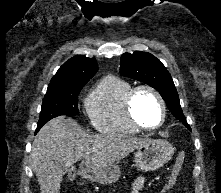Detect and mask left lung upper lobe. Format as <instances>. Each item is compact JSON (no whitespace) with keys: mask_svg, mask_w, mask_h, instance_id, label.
I'll use <instances>...</instances> for the list:
<instances>
[{"mask_svg":"<svg viewBox=\"0 0 221 193\" xmlns=\"http://www.w3.org/2000/svg\"><path fill=\"white\" fill-rule=\"evenodd\" d=\"M120 74L158 90L174 117L189 128L171 75L159 59L147 52L124 53L120 59Z\"/></svg>","mask_w":221,"mask_h":193,"instance_id":"5c2ea615","label":"left lung upper lobe"}]
</instances>
